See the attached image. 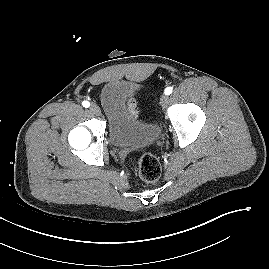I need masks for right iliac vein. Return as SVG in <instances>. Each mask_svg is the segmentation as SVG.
<instances>
[{
  "mask_svg": "<svg viewBox=\"0 0 269 269\" xmlns=\"http://www.w3.org/2000/svg\"><path fill=\"white\" fill-rule=\"evenodd\" d=\"M90 110H91L94 114H96V115H100V114H101V110H100L99 106L96 105V104H92V105L90 106Z\"/></svg>",
  "mask_w": 269,
  "mask_h": 269,
  "instance_id": "obj_1",
  "label": "right iliac vein"
}]
</instances>
